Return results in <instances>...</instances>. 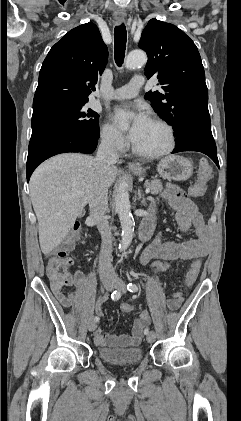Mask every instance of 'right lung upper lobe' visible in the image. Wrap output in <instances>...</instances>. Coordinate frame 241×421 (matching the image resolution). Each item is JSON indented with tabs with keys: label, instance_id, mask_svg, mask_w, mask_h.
I'll return each instance as SVG.
<instances>
[{
	"label": "right lung upper lobe",
	"instance_id": "1",
	"mask_svg": "<svg viewBox=\"0 0 241 421\" xmlns=\"http://www.w3.org/2000/svg\"><path fill=\"white\" fill-rule=\"evenodd\" d=\"M107 62L108 50L94 23L72 29L46 56L33 107L52 102H87Z\"/></svg>",
	"mask_w": 241,
	"mask_h": 421
}]
</instances>
